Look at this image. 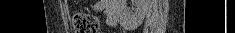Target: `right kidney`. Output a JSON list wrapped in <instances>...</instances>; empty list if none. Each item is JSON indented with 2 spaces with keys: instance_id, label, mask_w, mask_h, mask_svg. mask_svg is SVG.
Wrapping results in <instances>:
<instances>
[{
  "instance_id": "obj_1",
  "label": "right kidney",
  "mask_w": 235,
  "mask_h": 33,
  "mask_svg": "<svg viewBox=\"0 0 235 33\" xmlns=\"http://www.w3.org/2000/svg\"><path fill=\"white\" fill-rule=\"evenodd\" d=\"M121 3L125 5V0H121ZM136 8L134 12L129 13L128 10L124 9L120 13V21H130L132 19L143 20L146 15L149 0H135Z\"/></svg>"
}]
</instances>
